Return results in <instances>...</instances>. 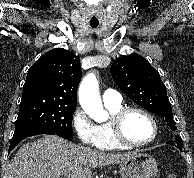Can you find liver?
Returning <instances> with one entry per match:
<instances>
[{
	"instance_id": "liver-1",
	"label": "liver",
	"mask_w": 194,
	"mask_h": 178,
	"mask_svg": "<svg viewBox=\"0 0 194 178\" xmlns=\"http://www.w3.org/2000/svg\"><path fill=\"white\" fill-rule=\"evenodd\" d=\"M135 153H104L56 135L24 144L8 166L7 178H91L92 168L122 163Z\"/></svg>"
}]
</instances>
